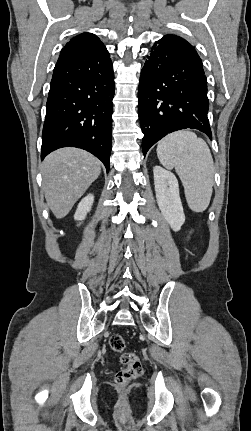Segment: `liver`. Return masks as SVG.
<instances>
[{
    "instance_id": "obj_1",
    "label": "liver",
    "mask_w": 251,
    "mask_h": 431,
    "mask_svg": "<svg viewBox=\"0 0 251 431\" xmlns=\"http://www.w3.org/2000/svg\"><path fill=\"white\" fill-rule=\"evenodd\" d=\"M100 172L101 162L82 149L63 148L49 154L42 165L43 191L54 216L65 217Z\"/></svg>"
}]
</instances>
